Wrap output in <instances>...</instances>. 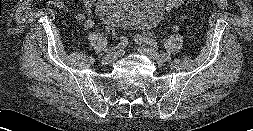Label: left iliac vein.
I'll return each instance as SVG.
<instances>
[{"instance_id":"1","label":"left iliac vein","mask_w":253,"mask_h":131,"mask_svg":"<svg viewBox=\"0 0 253 131\" xmlns=\"http://www.w3.org/2000/svg\"><path fill=\"white\" fill-rule=\"evenodd\" d=\"M135 42L139 45V51L148 57L156 60L169 61L170 55L164 54L161 55L155 48L146 45L144 42L140 41L139 38H135Z\"/></svg>"}]
</instances>
